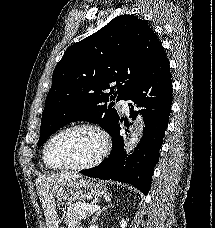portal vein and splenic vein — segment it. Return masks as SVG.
Listing matches in <instances>:
<instances>
[{"label":"portal vein and splenic vein","instance_id":"18ae733b","mask_svg":"<svg viewBox=\"0 0 215 228\" xmlns=\"http://www.w3.org/2000/svg\"><path fill=\"white\" fill-rule=\"evenodd\" d=\"M76 210H85V212H97V210H100L99 206H87V204H78L76 206Z\"/></svg>","mask_w":215,"mask_h":228}]
</instances>
